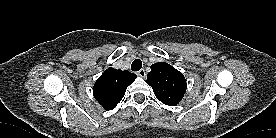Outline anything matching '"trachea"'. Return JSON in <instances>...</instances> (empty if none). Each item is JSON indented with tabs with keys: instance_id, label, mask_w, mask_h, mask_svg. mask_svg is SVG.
I'll use <instances>...</instances> for the list:
<instances>
[{
	"instance_id": "3493384b",
	"label": "trachea",
	"mask_w": 276,
	"mask_h": 138,
	"mask_svg": "<svg viewBox=\"0 0 276 138\" xmlns=\"http://www.w3.org/2000/svg\"><path fill=\"white\" fill-rule=\"evenodd\" d=\"M142 67V61L140 59H135L133 62H132V65H131V69L133 71H139Z\"/></svg>"
}]
</instances>
